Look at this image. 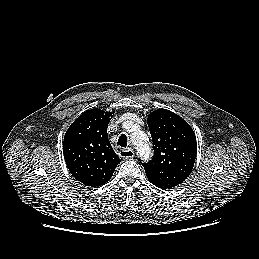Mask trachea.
I'll return each instance as SVG.
<instances>
[{"label": "trachea", "mask_w": 259, "mask_h": 259, "mask_svg": "<svg viewBox=\"0 0 259 259\" xmlns=\"http://www.w3.org/2000/svg\"><path fill=\"white\" fill-rule=\"evenodd\" d=\"M118 145L126 148L127 146V136L125 134H122L118 139Z\"/></svg>", "instance_id": "trachea-1"}]
</instances>
